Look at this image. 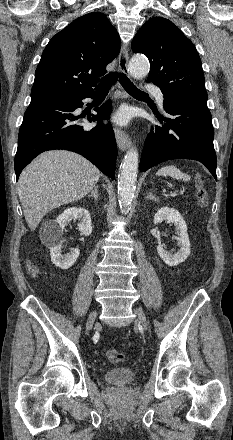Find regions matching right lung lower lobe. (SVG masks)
Segmentation results:
<instances>
[{
	"label": "right lung lower lobe",
	"instance_id": "1",
	"mask_svg": "<svg viewBox=\"0 0 233 440\" xmlns=\"http://www.w3.org/2000/svg\"><path fill=\"white\" fill-rule=\"evenodd\" d=\"M93 95L91 91L31 101L18 136L14 162L17 179L37 155L52 149L79 153L114 179L117 157L114 132L111 124L101 122L110 115V101L95 108L97 115L88 116L89 122L98 121L92 129H85L79 116L74 115V111L83 106L82 100Z\"/></svg>",
	"mask_w": 233,
	"mask_h": 440
}]
</instances>
